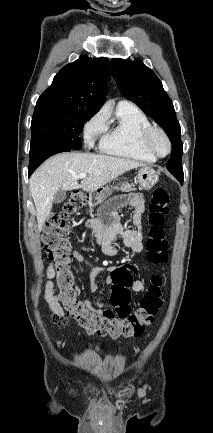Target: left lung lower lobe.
<instances>
[{
    "label": "left lung lower lobe",
    "mask_w": 213,
    "mask_h": 433,
    "mask_svg": "<svg viewBox=\"0 0 213 433\" xmlns=\"http://www.w3.org/2000/svg\"><path fill=\"white\" fill-rule=\"evenodd\" d=\"M178 181L180 182V184H183V178H178Z\"/></svg>",
    "instance_id": "1"
}]
</instances>
